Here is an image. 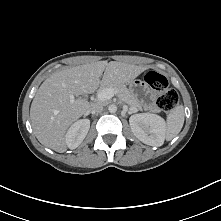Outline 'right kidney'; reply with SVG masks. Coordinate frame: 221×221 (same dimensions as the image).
<instances>
[{"instance_id": "right-kidney-1", "label": "right kidney", "mask_w": 221, "mask_h": 221, "mask_svg": "<svg viewBox=\"0 0 221 221\" xmlns=\"http://www.w3.org/2000/svg\"><path fill=\"white\" fill-rule=\"evenodd\" d=\"M90 128L89 119L76 121L67 131L65 141L69 149H76L85 139Z\"/></svg>"}]
</instances>
